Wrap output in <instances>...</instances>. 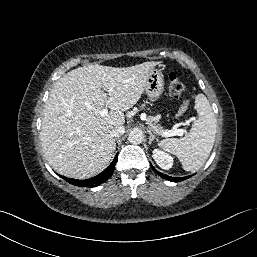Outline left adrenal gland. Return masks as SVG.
I'll list each match as a JSON object with an SVG mask.
<instances>
[{
    "instance_id": "1",
    "label": "left adrenal gland",
    "mask_w": 257,
    "mask_h": 257,
    "mask_svg": "<svg viewBox=\"0 0 257 257\" xmlns=\"http://www.w3.org/2000/svg\"><path fill=\"white\" fill-rule=\"evenodd\" d=\"M147 132L149 134V144H151L153 140H156L158 142V138L154 134H152L150 130L147 129Z\"/></svg>"
}]
</instances>
